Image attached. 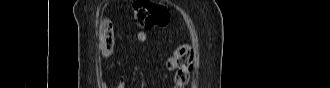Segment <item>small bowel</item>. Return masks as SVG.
<instances>
[{
  "label": "small bowel",
  "mask_w": 330,
  "mask_h": 88,
  "mask_svg": "<svg viewBox=\"0 0 330 88\" xmlns=\"http://www.w3.org/2000/svg\"><path fill=\"white\" fill-rule=\"evenodd\" d=\"M107 23H104L103 26H105ZM148 35L144 31H140L136 34L135 40L138 44H143L147 41ZM118 88H125V84L123 81H121L118 85Z\"/></svg>",
  "instance_id": "c3829d8e"
}]
</instances>
